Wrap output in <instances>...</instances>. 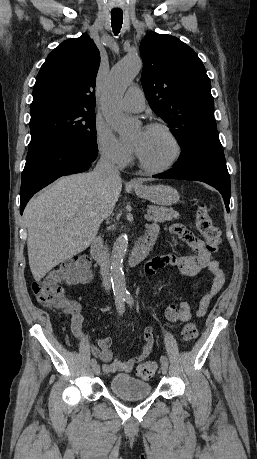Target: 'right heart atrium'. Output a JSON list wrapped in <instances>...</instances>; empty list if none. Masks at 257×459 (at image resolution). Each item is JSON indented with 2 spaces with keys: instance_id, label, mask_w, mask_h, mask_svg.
I'll return each mask as SVG.
<instances>
[{
  "instance_id": "obj_1",
  "label": "right heart atrium",
  "mask_w": 257,
  "mask_h": 459,
  "mask_svg": "<svg viewBox=\"0 0 257 459\" xmlns=\"http://www.w3.org/2000/svg\"><path fill=\"white\" fill-rule=\"evenodd\" d=\"M95 133L98 151L105 161L119 167L130 163L133 157L132 147L120 141L107 125L98 122Z\"/></svg>"
}]
</instances>
